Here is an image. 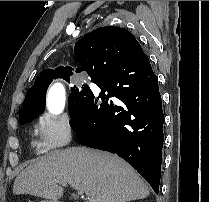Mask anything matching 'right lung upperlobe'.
<instances>
[{
  "label": "right lung upper lobe",
  "instance_id": "1",
  "mask_svg": "<svg viewBox=\"0 0 209 202\" xmlns=\"http://www.w3.org/2000/svg\"><path fill=\"white\" fill-rule=\"evenodd\" d=\"M74 54L80 65L76 68V73L85 71L92 81L112 76L124 82L130 74L129 70H141L142 65L138 66L137 62L146 57L134 35L124 28L113 26L100 27L78 40L74 46ZM72 74V68L68 66L39 73L35 84L26 93L21 110L45 105L46 94L43 97L42 91L50 79Z\"/></svg>",
  "mask_w": 209,
  "mask_h": 202
}]
</instances>
